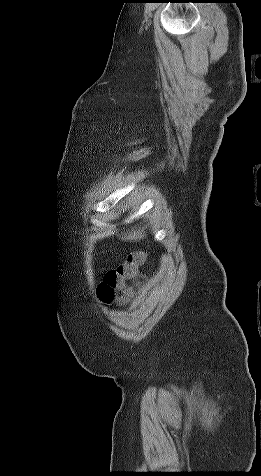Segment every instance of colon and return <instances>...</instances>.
<instances>
[{
	"label": "colon",
	"mask_w": 261,
	"mask_h": 476,
	"mask_svg": "<svg viewBox=\"0 0 261 476\" xmlns=\"http://www.w3.org/2000/svg\"><path fill=\"white\" fill-rule=\"evenodd\" d=\"M144 262V255L135 252L129 255L128 260L117 269L109 271L99 287V294L106 302L115 299L123 301L130 292L129 282L138 275L139 267ZM120 292L122 295H117Z\"/></svg>",
	"instance_id": "5ec220e1"
}]
</instances>
